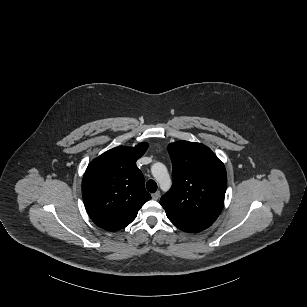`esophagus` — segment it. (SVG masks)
I'll return each mask as SVG.
<instances>
[{"label": "esophagus", "mask_w": 307, "mask_h": 307, "mask_svg": "<svg viewBox=\"0 0 307 307\" xmlns=\"http://www.w3.org/2000/svg\"><path fill=\"white\" fill-rule=\"evenodd\" d=\"M159 197H160V192L159 191H157V192L152 194V199H154V200H158Z\"/></svg>", "instance_id": "1"}]
</instances>
